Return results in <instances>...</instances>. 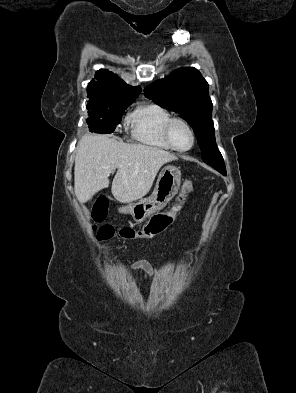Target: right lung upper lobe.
Segmentation results:
<instances>
[{
	"label": "right lung upper lobe",
	"instance_id": "obj_1",
	"mask_svg": "<svg viewBox=\"0 0 296 393\" xmlns=\"http://www.w3.org/2000/svg\"><path fill=\"white\" fill-rule=\"evenodd\" d=\"M141 88L127 85L117 75L107 70H99L87 87L88 102L109 100H133Z\"/></svg>",
	"mask_w": 296,
	"mask_h": 393
}]
</instances>
